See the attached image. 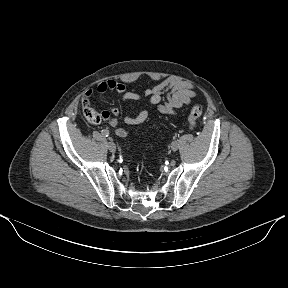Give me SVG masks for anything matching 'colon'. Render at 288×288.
I'll return each instance as SVG.
<instances>
[{
	"mask_svg": "<svg viewBox=\"0 0 288 288\" xmlns=\"http://www.w3.org/2000/svg\"><path fill=\"white\" fill-rule=\"evenodd\" d=\"M87 103V101H84ZM203 111L202 106L200 105H195L192 107L189 116H188V124L191 129H194L197 125V120L201 116ZM84 116L89 121L90 123L96 124L99 123L102 119L103 116L101 113L97 112L93 108L85 105L83 108Z\"/></svg>",
	"mask_w": 288,
	"mask_h": 288,
	"instance_id": "1",
	"label": "colon"
}]
</instances>
